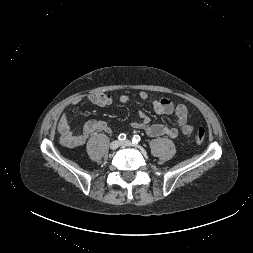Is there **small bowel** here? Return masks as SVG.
Returning <instances> with one entry per match:
<instances>
[{
	"label": "small bowel",
	"mask_w": 253,
	"mask_h": 253,
	"mask_svg": "<svg viewBox=\"0 0 253 253\" xmlns=\"http://www.w3.org/2000/svg\"><path fill=\"white\" fill-rule=\"evenodd\" d=\"M141 100H149L157 114L171 115L177 118L176 126H167L164 124H152L150 118L141 112L138 118L132 123V127L143 129L150 137L169 136L176 138L179 135L189 137L192 135L194 127L192 124V113L183 104H174L168 98H152L146 92L139 94ZM89 101L99 107L109 106L113 98L111 95L103 92L92 93L88 97ZM120 102L127 103L130 98L127 95L119 97ZM80 99H74L72 105H77ZM58 131L61 135V142L68 148H76L85 144L86 140L94 133L104 131L110 133L111 127L104 121L88 120L82 126L81 134H74L70 128L69 116L64 113L58 123Z\"/></svg>",
	"instance_id": "c3829d8e"
}]
</instances>
